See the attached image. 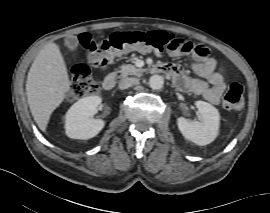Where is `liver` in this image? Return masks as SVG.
I'll return each mask as SVG.
<instances>
[{"instance_id":"obj_1","label":"liver","mask_w":270,"mask_h":213,"mask_svg":"<svg viewBox=\"0 0 270 213\" xmlns=\"http://www.w3.org/2000/svg\"><path fill=\"white\" fill-rule=\"evenodd\" d=\"M70 81L59 46L46 44L33 61L27 76L26 94L32 116L45 131L53 111L69 91Z\"/></svg>"}]
</instances>
